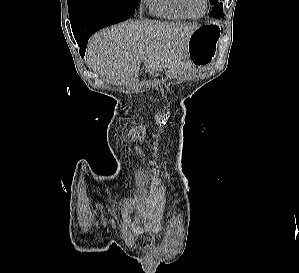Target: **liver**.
<instances>
[{
  "label": "liver",
  "instance_id": "liver-1",
  "mask_svg": "<svg viewBox=\"0 0 299 273\" xmlns=\"http://www.w3.org/2000/svg\"><path fill=\"white\" fill-rule=\"evenodd\" d=\"M199 25L128 21L103 29L89 41L87 54L94 72L115 83L138 80L141 61L154 73L190 67L188 41Z\"/></svg>",
  "mask_w": 299,
  "mask_h": 273
}]
</instances>
